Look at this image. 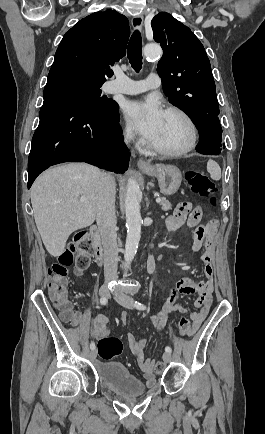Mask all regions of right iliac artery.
<instances>
[{
	"label": "right iliac artery",
	"mask_w": 265,
	"mask_h": 434,
	"mask_svg": "<svg viewBox=\"0 0 265 434\" xmlns=\"http://www.w3.org/2000/svg\"><path fill=\"white\" fill-rule=\"evenodd\" d=\"M100 303H101L102 305H105V304L107 303V299H106L105 297H102V298L100 299ZM90 349H91V350H94V349H95V344H94L93 342L90 344Z\"/></svg>",
	"instance_id": "right-iliac-artery-1"
}]
</instances>
